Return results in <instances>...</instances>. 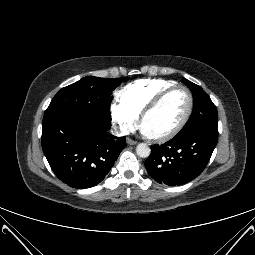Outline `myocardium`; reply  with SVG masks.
I'll return each instance as SVG.
<instances>
[{"label":"myocardium","mask_w":255,"mask_h":255,"mask_svg":"<svg viewBox=\"0 0 255 255\" xmlns=\"http://www.w3.org/2000/svg\"><path fill=\"white\" fill-rule=\"evenodd\" d=\"M184 90L187 95H188V108L187 111L184 115V117L182 118V120L178 123V125L176 127H174L172 130L161 134V135H151V138L156 140V141H167L171 138H173L174 136H176L183 128L184 126L187 124L188 120L191 117L192 111H193V107H194V97L193 94L191 92V90L184 86V85H174L171 86L165 90H163L162 92H160L142 111L141 113V124H144L145 119L147 118V116L152 113L155 109H157L159 107V105L163 102V100L172 92L176 91V90Z\"/></svg>","instance_id":"1"}]
</instances>
